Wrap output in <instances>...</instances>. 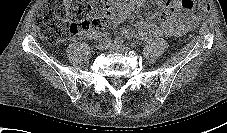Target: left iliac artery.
<instances>
[{
	"label": "left iliac artery",
	"instance_id": "left-iliac-artery-1",
	"mask_svg": "<svg viewBox=\"0 0 227 133\" xmlns=\"http://www.w3.org/2000/svg\"><path fill=\"white\" fill-rule=\"evenodd\" d=\"M115 44L122 45L124 43V40L121 37H116L114 40Z\"/></svg>",
	"mask_w": 227,
	"mask_h": 133
}]
</instances>
